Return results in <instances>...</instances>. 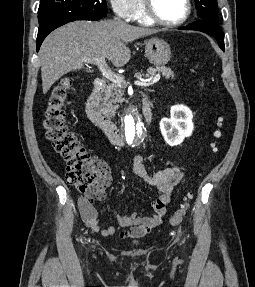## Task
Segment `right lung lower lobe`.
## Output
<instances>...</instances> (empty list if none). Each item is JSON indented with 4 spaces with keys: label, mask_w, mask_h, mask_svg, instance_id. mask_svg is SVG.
<instances>
[{
    "label": "right lung lower lobe",
    "mask_w": 255,
    "mask_h": 287,
    "mask_svg": "<svg viewBox=\"0 0 255 287\" xmlns=\"http://www.w3.org/2000/svg\"><path fill=\"white\" fill-rule=\"evenodd\" d=\"M72 21H75V20H65V21L49 24V25H46L43 27H39L38 36H37V48H36L37 51H39V48H40L43 40L51 31H53L54 29L66 24V23L72 22Z\"/></svg>",
    "instance_id": "98d812e1"
}]
</instances>
